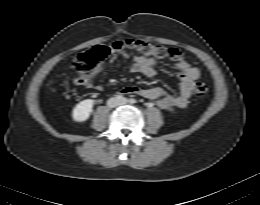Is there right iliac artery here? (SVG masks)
I'll return each mask as SVG.
<instances>
[{"instance_id": "1", "label": "right iliac artery", "mask_w": 260, "mask_h": 205, "mask_svg": "<svg viewBox=\"0 0 260 205\" xmlns=\"http://www.w3.org/2000/svg\"><path fill=\"white\" fill-rule=\"evenodd\" d=\"M116 98H117L118 100H122V99H124V97L121 96V95H117Z\"/></svg>"}]
</instances>
